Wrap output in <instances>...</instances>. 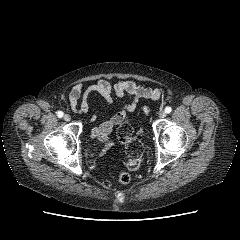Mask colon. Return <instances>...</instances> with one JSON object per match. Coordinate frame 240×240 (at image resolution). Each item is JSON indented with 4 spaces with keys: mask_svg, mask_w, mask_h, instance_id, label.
<instances>
[{
    "mask_svg": "<svg viewBox=\"0 0 240 240\" xmlns=\"http://www.w3.org/2000/svg\"><path fill=\"white\" fill-rule=\"evenodd\" d=\"M118 140L125 145L126 153L128 156L127 167L130 171L137 170L140 166L143 147L140 140L133 137V130L130 124L123 122L118 129ZM131 177L128 172H120L117 180L121 184H127Z\"/></svg>",
    "mask_w": 240,
    "mask_h": 240,
    "instance_id": "obj_1",
    "label": "colon"
}]
</instances>
